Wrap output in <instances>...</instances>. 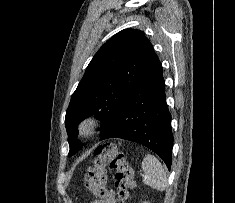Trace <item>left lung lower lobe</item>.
Masks as SVG:
<instances>
[{
	"label": "left lung lower lobe",
	"mask_w": 235,
	"mask_h": 203,
	"mask_svg": "<svg viewBox=\"0 0 235 203\" xmlns=\"http://www.w3.org/2000/svg\"><path fill=\"white\" fill-rule=\"evenodd\" d=\"M100 141L121 138L154 151L171 168L173 134L162 65L156 56ZM83 145V144H82Z\"/></svg>",
	"instance_id": "obj_1"
}]
</instances>
